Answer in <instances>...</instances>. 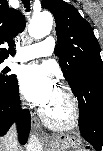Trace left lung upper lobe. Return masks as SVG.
Masks as SVG:
<instances>
[{"mask_svg": "<svg viewBox=\"0 0 103 151\" xmlns=\"http://www.w3.org/2000/svg\"><path fill=\"white\" fill-rule=\"evenodd\" d=\"M42 7L54 15L58 41L55 54L70 85L87 75L90 66H102L93 30L75 7L62 0H42Z\"/></svg>", "mask_w": 103, "mask_h": 151, "instance_id": "left-lung-upper-lobe-1", "label": "left lung upper lobe"}]
</instances>
